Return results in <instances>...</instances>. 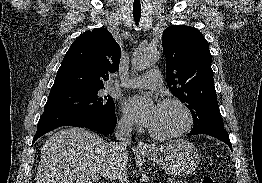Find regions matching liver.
<instances>
[{"label": "liver", "instance_id": "6515ba94", "mask_svg": "<svg viewBox=\"0 0 262 183\" xmlns=\"http://www.w3.org/2000/svg\"><path fill=\"white\" fill-rule=\"evenodd\" d=\"M127 158H115L108 144L83 128L54 133L41 149L35 183H101L117 179Z\"/></svg>", "mask_w": 262, "mask_h": 183}]
</instances>
